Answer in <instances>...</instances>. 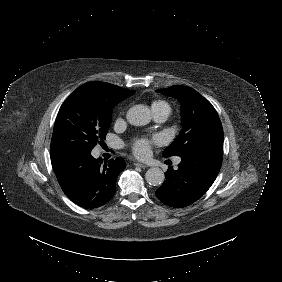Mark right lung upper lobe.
<instances>
[{
	"label": "right lung upper lobe",
	"instance_id": "right-lung-upper-lobe-1",
	"mask_svg": "<svg viewBox=\"0 0 282 282\" xmlns=\"http://www.w3.org/2000/svg\"><path fill=\"white\" fill-rule=\"evenodd\" d=\"M106 85H111V84L104 83V82H89V83H85L84 85L80 86V88H89V87L106 86Z\"/></svg>",
	"mask_w": 282,
	"mask_h": 282
}]
</instances>
